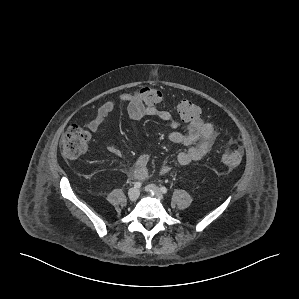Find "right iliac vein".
<instances>
[{"label": "right iliac vein", "mask_w": 299, "mask_h": 299, "mask_svg": "<svg viewBox=\"0 0 299 299\" xmlns=\"http://www.w3.org/2000/svg\"><path fill=\"white\" fill-rule=\"evenodd\" d=\"M139 197V190L136 189V188H131L129 191H128V198L130 201H136L137 198Z\"/></svg>", "instance_id": "right-iliac-vein-1"}]
</instances>
